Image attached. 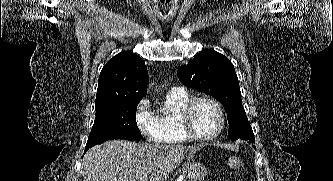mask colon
Listing matches in <instances>:
<instances>
[{"instance_id": "1", "label": "colon", "mask_w": 333, "mask_h": 181, "mask_svg": "<svg viewBox=\"0 0 333 181\" xmlns=\"http://www.w3.org/2000/svg\"><path fill=\"white\" fill-rule=\"evenodd\" d=\"M227 165L231 170H239L243 165V160L238 156H231L227 161Z\"/></svg>"}]
</instances>
